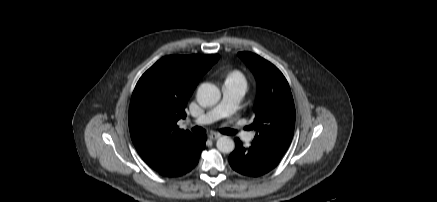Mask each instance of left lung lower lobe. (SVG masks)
Here are the masks:
<instances>
[{
    "instance_id": "1",
    "label": "left lung lower lobe",
    "mask_w": 437,
    "mask_h": 202,
    "mask_svg": "<svg viewBox=\"0 0 437 202\" xmlns=\"http://www.w3.org/2000/svg\"><path fill=\"white\" fill-rule=\"evenodd\" d=\"M235 144V150L229 156V163L236 172L245 176L258 177L277 166L252 146L243 147L238 138L235 139Z\"/></svg>"
}]
</instances>
